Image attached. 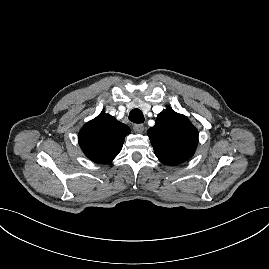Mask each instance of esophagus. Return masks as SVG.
Wrapping results in <instances>:
<instances>
[{"mask_svg": "<svg viewBox=\"0 0 269 269\" xmlns=\"http://www.w3.org/2000/svg\"><path fill=\"white\" fill-rule=\"evenodd\" d=\"M133 129H134V131L137 132V133H142V132L145 130V127H144L143 124H135V125L133 126Z\"/></svg>", "mask_w": 269, "mask_h": 269, "instance_id": "34e87169", "label": "esophagus"}]
</instances>
